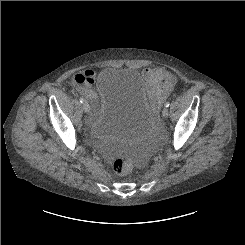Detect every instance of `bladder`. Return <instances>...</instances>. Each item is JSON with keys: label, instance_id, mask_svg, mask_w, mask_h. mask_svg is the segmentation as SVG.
<instances>
[{"label": "bladder", "instance_id": "31cf9c89", "mask_svg": "<svg viewBox=\"0 0 245 245\" xmlns=\"http://www.w3.org/2000/svg\"><path fill=\"white\" fill-rule=\"evenodd\" d=\"M97 110L91 116L93 140L133 142L155 128L140 74L135 68L106 66L97 84Z\"/></svg>", "mask_w": 245, "mask_h": 245}]
</instances>
